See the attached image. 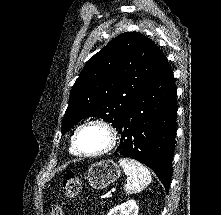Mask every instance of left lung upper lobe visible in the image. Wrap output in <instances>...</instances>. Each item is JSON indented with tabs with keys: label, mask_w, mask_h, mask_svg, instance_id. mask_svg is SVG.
<instances>
[{
	"label": "left lung upper lobe",
	"mask_w": 221,
	"mask_h": 215,
	"mask_svg": "<svg viewBox=\"0 0 221 215\" xmlns=\"http://www.w3.org/2000/svg\"><path fill=\"white\" fill-rule=\"evenodd\" d=\"M165 60L158 46L140 33L126 32L112 39L86 63L75 81L62 132L90 116L117 127Z\"/></svg>",
	"instance_id": "obj_1"
}]
</instances>
